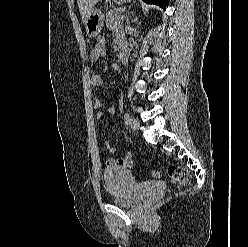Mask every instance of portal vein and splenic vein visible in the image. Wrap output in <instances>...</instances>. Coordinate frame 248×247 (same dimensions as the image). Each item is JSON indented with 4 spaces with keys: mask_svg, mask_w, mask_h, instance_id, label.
Here are the masks:
<instances>
[{
    "mask_svg": "<svg viewBox=\"0 0 248 247\" xmlns=\"http://www.w3.org/2000/svg\"><path fill=\"white\" fill-rule=\"evenodd\" d=\"M124 11H125V8H122V9H121V12H124Z\"/></svg>",
    "mask_w": 248,
    "mask_h": 247,
    "instance_id": "1",
    "label": "portal vein and splenic vein"
}]
</instances>
